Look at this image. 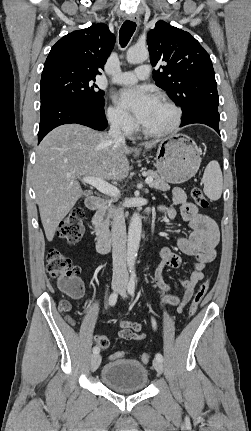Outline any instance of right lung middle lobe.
<instances>
[{"label": "right lung middle lobe", "mask_w": 251, "mask_h": 431, "mask_svg": "<svg viewBox=\"0 0 251 431\" xmlns=\"http://www.w3.org/2000/svg\"><path fill=\"white\" fill-rule=\"evenodd\" d=\"M95 76L68 65H51L43 69L41 102L56 96L75 99L94 106L104 105V92L97 91Z\"/></svg>", "instance_id": "obj_1"}]
</instances>
